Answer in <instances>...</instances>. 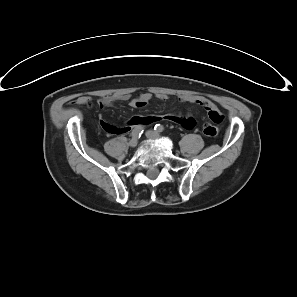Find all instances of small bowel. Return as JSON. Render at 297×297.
I'll list each match as a JSON object with an SVG mask.
<instances>
[{
    "mask_svg": "<svg viewBox=\"0 0 297 297\" xmlns=\"http://www.w3.org/2000/svg\"><path fill=\"white\" fill-rule=\"evenodd\" d=\"M159 98L161 100H164L166 97L160 96ZM121 99L125 100L126 97H122ZM149 100H150L149 94H142L139 97L131 100L129 105L134 108H143L148 104ZM182 100L202 106L208 112L209 116H211L213 114L221 115L217 106L205 98L190 95V96H183ZM115 101H116V99L113 97H102L100 99V105L101 106H112ZM79 102L84 103L85 99L80 98ZM160 119L179 123L180 125H182L184 128H187V129H191L195 125V122L192 118L168 114V115H164L162 117L152 116V117H145L143 119H141L139 117H133L129 120L128 126L123 128V131H127L130 126L138 127V126H142V124H150V123L156 122ZM100 124L103 127V129L109 133H114L116 130L115 127H113L109 124H106L103 120H100Z\"/></svg>",
    "mask_w": 297,
    "mask_h": 297,
    "instance_id": "small-bowel-1",
    "label": "small bowel"
}]
</instances>
